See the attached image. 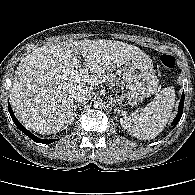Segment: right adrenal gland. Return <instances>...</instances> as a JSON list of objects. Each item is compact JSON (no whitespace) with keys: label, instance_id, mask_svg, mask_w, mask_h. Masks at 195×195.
Returning <instances> with one entry per match:
<instances>
[{"label":"right adrenal gland","instance_id":"2a0ac1e0","mask_svg":"<svg viewBox=\"0 0 195 195\" xmlns=\"http://www.w3.org/2000/svg\"><path fill=\"white\" fill-rule=\"evenodd\" d=\"M80 106V104L78 103V104H75L74 105V116H73V120L75 119V117H76V109H77V107H79Z\"/></svg>","mask_w":195,"mask_h":195}]
</instances>
